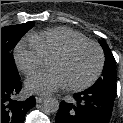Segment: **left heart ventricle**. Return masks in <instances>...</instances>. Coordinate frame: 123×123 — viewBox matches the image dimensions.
I'll return each mask as SVG.
<instances>
[{
	"instance_id": "left-heart-ventricle-1",
	"label": "left heart ventricle",
	"mask_w": 123,
	"mask_h": 123,
	"mask_svg": "<svg viewBox=\"0 0 123 123\" xmlns=\"http://www.w3.org/2000/svg\"><path fill=\"white\" fill-rule=\"evenodd\" d=\"M99 56L95 48L83 47L66 58L52 57L51 69H57L63 75L67 85L87 81L97 69Z\"/></svg>"
}]
</instances>
